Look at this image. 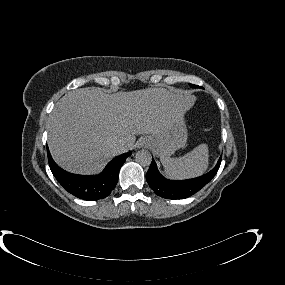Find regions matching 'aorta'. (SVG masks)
I'll use <instances>...</instances> for the list:
<instances>
[{"instance_id": "1", "label": "aorta", "mask_w": 285, "mask_h": 285, "mask_svg": "<svg viewBox=\"0 0 285 285\" xmlns=\"http://www.w3.org/2000/svg\"><path fill=\"white\" fill-rule=\"evenodd\" d=\"M136 162L143 166H148L152 162V155L148 150H140L135 156Z\"/></svg>"}]
</instances>
